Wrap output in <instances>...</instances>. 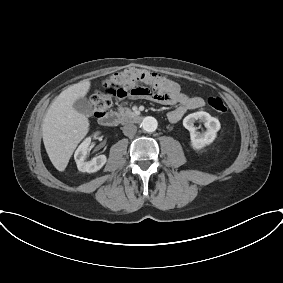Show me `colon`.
<instances>
[{"label":"colon","mask_w":283,"mask_h":283,"mask_svg":"<svg viewBox=\"0 0 283 283\" xmlns=\"http://www.w3.org/2000/svg\"><path fill=\"white\" fill-rule=\"evenodd\" d=\"M172 91L171 80L166 76L138 67H128L114 73L103 84L102 90L91 97V104L95 117L108 112L114 98L122 99L129 95L148 98L154 97L165 100ZM209 107L219 114L227 111L226 104L220 97H210Z\"/></svg>","instance_id":"obj_1"}]
</instances>
